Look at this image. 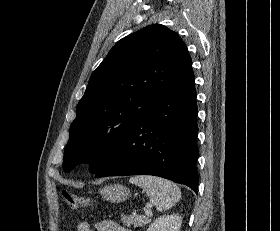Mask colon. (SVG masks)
<instances>
[{"label": "colon", "mask_w": 280, "mask_h": 231, "mask_svg": "<svg viewBox=\"0 0 280 231\" xmlns=\"http://www.w3.org/2000/svg\"><path fill=\"white\" fill-rule=\"evenodd\" d=\"M62 198L65 201L66 205L72 209H83L88 206V202L80 197L73 195L69 191L64 190L62 192Z\"/></svg>", "instance_id": "5ec220e1"}]
</instances>
